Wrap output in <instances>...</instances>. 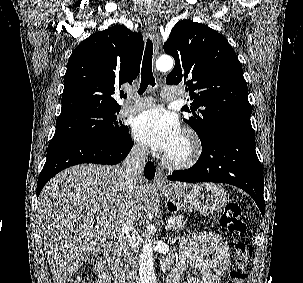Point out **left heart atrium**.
Returning <instances> with one entry per match:
<instances>
[{
	"mask_svg": "<svg viewBox=\"0 0 303 283\" xmlns=\"http://www.w3.org/2000/svg\"><path fill=\"white\" fill-rule=\"evenodd\" d=\"M133 134L139 141L165 154L170 153L182 138L177 117L161 106L140 114L135 120Z\"/></svg>",
	"mask_w": 303,
	"mask_h": 283,
	"instance_id": "39dd6f15",
	"label": "left heart atrium"
}]
</instances>
